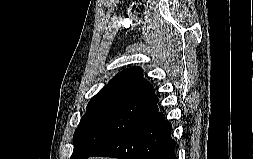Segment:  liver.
Returning a JSON list of instances; mask_svg holds the SVG:
<instances>
[{"mask_svg":"<svg viewBox=\"0 0 253 159\" xmlns=\"http://www.w3.org/2000/svg\"><path fill=\"white\" fill-rule=\"evenodd\" d=\"M89 159H114V158H101V157H92V158H89Z\"/></svg>","mask_w":253,"mask_h":159,"instance_id":"obj_1","label":"liver"}]
</instances>
